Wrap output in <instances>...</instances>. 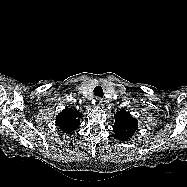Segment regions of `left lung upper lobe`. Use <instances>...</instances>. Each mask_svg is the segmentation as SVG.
Returning a JSON list of instances; mask_svg holds the SVG:
<instances>
[{
  "label": "left lung upper lobe",
  "mask_w": 187,
  "mask_h": 187,
  "mask_svg": "<svg viewBox=\"0 0 187 187\" xmlns=\"http://www.w3.org/2000/svg\"><path fill=\"white\" fill-rule=\"evenodd\" d=\"M113 131L115 137L121 141L129 140L138 129V121L126 110H120L115 114Z\"/></svg>",
  "instance_id": "5c2ea615"
}]
</instances>
